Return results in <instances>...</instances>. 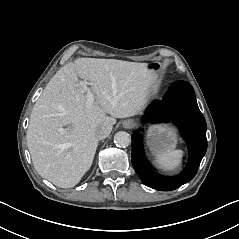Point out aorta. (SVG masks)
Instances as JSON below:
<instances>
[{
	"label": "aorta",
	"mask_w": 239,
	"mask_h": 239,
	"mask_svg": "<svg viewBox=\"0 0 239 239\" xmlns=\"http://www.w3.org/2000/svg\"><path fill=\"white\" fill-rule=\"evenodd\" d=\"M114 142L119 147H127L131 144V137L125 131H119L114 136Z\"/></svg>",
	"instance_id": "obj_1"
}]
</instances>
